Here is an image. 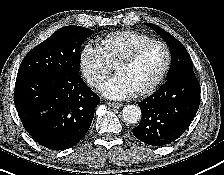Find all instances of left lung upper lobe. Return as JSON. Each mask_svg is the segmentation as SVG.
<instances>
[{
    "label": "left lung upper lobe",
    "mask_w": 224,
    "mask_h": 175,
    "mask_svg": "<svg viewBox=\"0 0 224 175\" xmlns=\"http://www.w3.org/2000/svg\"><path fill=\"white\" fill-rule=\"evenodd\" d=\"M146 25L160 34L170 48L171 66L167 77L182 70H193L192 61L187 50L177 39L154 24L146 23Z\"/></svg>",
    "instance_id": "1"
}]
</instances>
